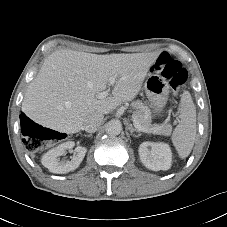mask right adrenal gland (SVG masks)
I'll use <instances>...</instances> for the list:
<instances>
[{
    "instance_id": "1",
    "label": "right adrenal gland",
    "mask_w": 227,
    "mask_h": 227,
    "mask_svg": "<svg viewBox=\"0 0 227 227\" xmlns=\"http://www.w3.org/2000/svg\"><path fill=\"white\" fill-rule=\"evenodd\" d=\"M85 137H92V134L84 135Z\"/></svg>"
}]
</instances>
